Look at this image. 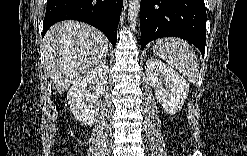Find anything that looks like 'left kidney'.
<instances>
[{
  "instance_id": "obj_1",
  "label": "left kidney",
  "mask_w": 247,
  "mask_h": 156,
  "mask_svg": "<svg viewBox=\"0 0 247 156\" xmlns=\"http://www.w3.org/2000/svg\"><path fill=\"white\" fill-rule=\"evenodd\" d=\"M145 69L147 80L154 88L156 99L164 111L170 114L180 111L189 93V83L158 59H149Z\"/></svg>"
}]
</instances>
